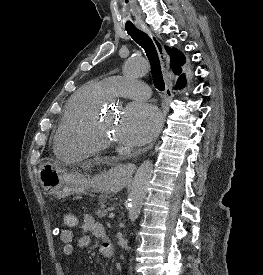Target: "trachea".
<instances>
[{
    "instance_id": "3493384b",
    "label": "trachea",
    "mask_w": 263,
    "mask_h": 275,
    "mask_svg": "<svg viewBox=\"0 0 263 275\" xmlns=\"http://www.w3.org/2000/svg\"><path fill=\"white\" fill-rule=\"evenodd\" d=\"M126 31L132 39L145 50L151 64L154 85L159 91H163L165 89V83L162 76L158 53L152 39L145 32L139 30L135 26L126 27Z\"/></svg>"
}]
</instances>
